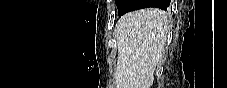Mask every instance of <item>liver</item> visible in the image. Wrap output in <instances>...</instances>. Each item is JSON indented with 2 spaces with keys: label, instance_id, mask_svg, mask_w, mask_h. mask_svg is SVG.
<instances>
[{
  "label": "liver",
  "instance_id": "1",
  "mask_svg": "<svg viewBox=\"0 0 227 88\" xmlns=\"http://www.w3.org/2000/svg\"><path fill=\"white\" fill-rule=\"evenodd\" d=\"M168 16L158 8L136 10L115 25L116 88H151L167 41Z\"/></svg>",
  "mask_w": 227,
  "mask_h": 88
}]
</instances>
